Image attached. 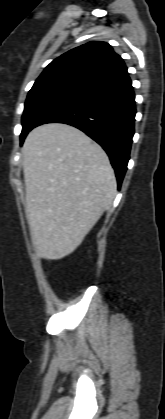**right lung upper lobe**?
I'll use <instances>...</instances> for the list:
<instances>
[{
    "label": "right lung upper lobe",
    "mask_w": 165,
    "mask_h": 419,
    "mask_svg": "<svg viewBox=\"0 0 165 419\" xmlns=\"http://www.w3.org/2000/svg\"><path fill=\"white\" fill-rule=\"evenodd\" d=\"M126 76L127 67L112 47L92 41L53 60L30 91L58 86L88 94Z\"/></svg>",
    "instance_id": "right-lung-upper-lobe-1"
}]
</instances>
